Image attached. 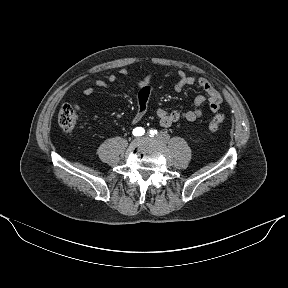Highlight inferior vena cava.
<instances>
[{"label":"inferior vena cava","instance_id":"602c4592","mask_svg":"<svg viewBox=\"0 0 288 288\" xmlns=\"http://www.w3.org/2000/svg\"><path fill=\"white\" fill-rule=\"evenodd\" d=\"M157 140H158V142H160V143H162V144H165V143H167V141H168V136H167V134H165V133H160V134H158V136H157Z\"/></svg>","mask_w":288,"mask_h":288}]
</instances>
